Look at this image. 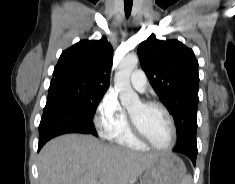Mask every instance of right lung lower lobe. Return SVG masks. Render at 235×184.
Instances as JSON below:
<instances>
[{"instance_id":"obj_1","label":"right lung lower lobe","mask_w":235,"mask_h":184,"mask_svg":"<svg viewBox=\"0 0 235 184\" xmlns=\"http://www.w3.org/2000/svg\"><path fill=\"white\" fill-rule=\"evenodd\" d=\"M66 133H83L98 136L93 124V118L86 116L71 103L59 97L48 95L39 125L38 151L50 139Z\"/></svg>"}]
</instances>
